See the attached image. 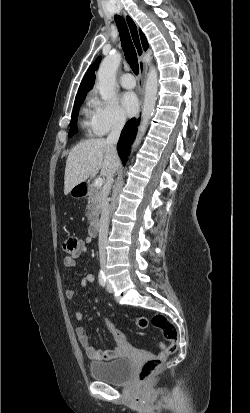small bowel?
I'll use <instances>...</instances> for the list:
<instances>
[{"mask_svg":"<svg viewBox=\"0 0 250 413\" xmlns=\"http://www.w3.org/2000/svg\"><path fill=\"white\" fill-rule=\"evenodd\" d=\"M90 241L89 238L85 240L79 241V249L76 253L68 255L64 258L63 264L66 268H75L76 267V259L87 250V243ZM95 278L92 274L86 275L81 282L82 287H85L88 283L94 282ZM76 296V291L72 288H68L65 291V297L68 300L74 299ZM75 318L78 321L83 319V314L80 310H77L75 313ZM76 336L79 340L80 345L85 350L87 356L94 361H108L116 358L122 351V346L127 340H117V347L113 350H98L94 348L90 342L89 336L86 334L84 327L78 326L75 329Z\"/></svg>","mask_w":250,"mask_h":413,"instance_id":"1","label":"small bowel"}]
</instances>
